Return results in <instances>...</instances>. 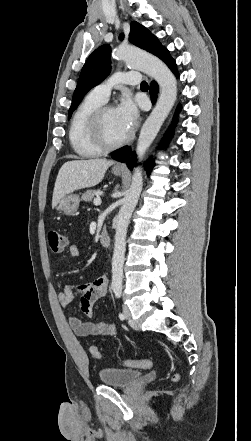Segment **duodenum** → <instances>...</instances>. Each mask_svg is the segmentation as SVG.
Segmentation results:
<instances>
[{
    "label": "duodenum",
    "mask_w": 251,
    "mask_h": 441,
    "mask_svg": "<svg viewBox=\"0 0 251 441\" xmlns=\"http://www.w3.org/2000/svg\"><path fill=\"white\" fill-rule=\"evenodd\" d=\"M99 242L103 247H109L111 239L108 234H101L99 237Z\"/></svg>",
    "instance_id": "obj_1"
}]
</instances>
